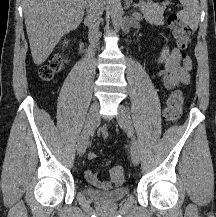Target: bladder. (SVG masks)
Masks as SVG:
<instances>
[{
  "label": "bladder",
  "mask_w": 216,
  "mask_h": 217,
  "mask_svg": "<svg viewBox=\"0 0 216 217\" xmlns=\"http://www.w3.org/2000/svg\"><path fill=\"white\" fill-rule=\"evenodd\" d=\"M85 194L100 204L110 205L124 200L129 195V188L127 186H118L111 190L99 191L86 187Z\"/></svg>",
  "instance_id": "31cf9c89"
}]
</instances>
